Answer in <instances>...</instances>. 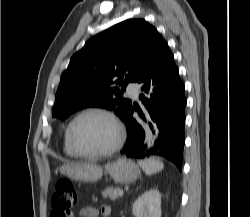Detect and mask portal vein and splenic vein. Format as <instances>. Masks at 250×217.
<instances>
[{
	"mask_svg": "<svg viewBox=\"0 0 250 217\" xmlns=\"http://www.w3.org/2000/svg\"><path fill=\"white\" fill-rule=\"evenodd\" d=\"M119 196H123V191H119Z\"/></svg>",
	"mask_w": 250,
	"mask_h": 217,
	"instance_id": "18ae733b",
	"label": "portal vein and splenic vein"
}]
</instances>
